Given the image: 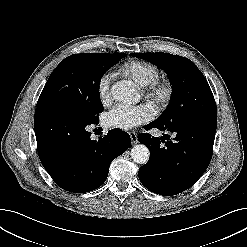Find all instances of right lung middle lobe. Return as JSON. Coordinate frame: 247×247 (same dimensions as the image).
<instances>
[{
    "label": "right lung middle lobe",
    "mask_w": 247,
    "mask_h": 247,
    "mask_svg": "<svg viewBox=\"0 0 247 247\" xmlns=\"http://www.w3.org/2000/svg\"><path fill=\"white\" fill-rule=\"evenodd\" d=\"M126 54H74L65 58L49 76L37 106H56L84 121H97L103 111L98 85L104 73Z\"/></svg>",
    "instance_id": "1"
}]
</instances>
